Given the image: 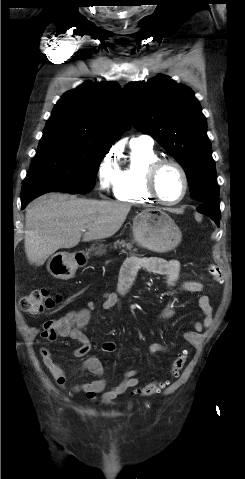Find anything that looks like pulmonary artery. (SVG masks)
<instances>
[{
  "instance_id": "e3ab8cb5",
  "label": "pulmonary artery",
  "mask_w": 245,
  "mask_h": 479,
  "mask_svg": "<svg viewBox=\"0 0 245 479\" xmlns=\"http://www.w3.org/2000/svg\"><path fill=\"white\" fill-rule=\"evenodd\" d=\"M131 142L141 143L146 146H153L154 140L148 135H140L136 138H133Z\"/></svg>"
}]
</instances>
